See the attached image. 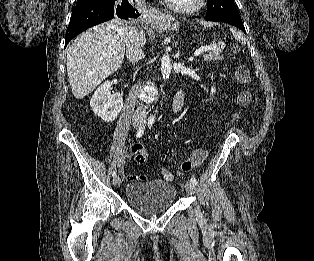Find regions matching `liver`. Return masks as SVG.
<instances>
[{"instance_id": "6515ba94", "label": "liver", "mask_w": 314, "mask_h": 261, "mask_svg": "<svg viewBox=\"0 0 314 261\" xmlns=\"http://www.w3.org/2000/svg\"><path fill=\"white\" fill-rule=\"evenodd\" d=\"M128 29L121 21L112 20L83 32L69 46L67 73L75 98L91 93L121 67Z\"/></svg>"}]
</instances>
